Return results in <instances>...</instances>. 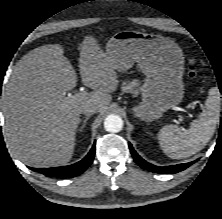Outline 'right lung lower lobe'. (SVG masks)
<instances>
[{
    "label": "right lung lower lobe",
    "instance_id": "right-lung-lower-lobe-1",
    "mask_svg": "<svg viewBox=\"0 0 222 219\" xmlns=\"http://www.w3.org/2000/svg\"><path fill=\"white\" fill-rule=\"evenodd\" d=\"M96 144H94L90 150V152L79 162L62 167H55V168H46V169H35L31 168L32 170H37L38 172L44 174L47 177H59V178H69L75 177L83 173L89 165L92 163L95 155Z\"/></svg>",
    "mask_w": 222,
    "mask_h": 219
}]
</instances>
